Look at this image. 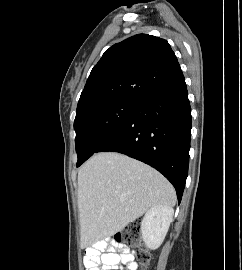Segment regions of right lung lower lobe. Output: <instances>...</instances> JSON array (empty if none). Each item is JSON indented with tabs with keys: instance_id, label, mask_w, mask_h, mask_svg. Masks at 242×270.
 <instances>
[{
	"instance_id": "1",
	"label": "right lung lower lobe",
	"mask_w": 242,
	"mask_h": 270,
	"mask_svg": "<svg viewBox=\"0 0 242 270\" xmlns=\"http://www.w3.org/2000/svg\"><path fill=\"white\" fill-rule=\"evenodd\" d=\"M190 137L191 107L180 72L136 101L121 126L95 153L119 152L154 167L175 187L180 203L188 175Z\"/></svg>"
}]
</instances>
